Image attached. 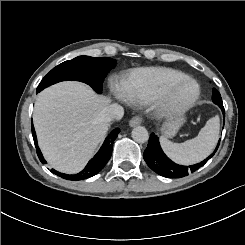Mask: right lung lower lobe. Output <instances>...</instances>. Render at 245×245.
Wrapping results in <instances>:
<instances>
[{
    "label": "right lung lower lobe",
    "instance_id": "1",
    "mask_svg": "<svg viewBox=\"0 0 245 245\" xmlns=\"http://www.w3.org/2000/svg\"><path fill=\"white\" fill-rule=\"evenodd\" d=\"M119 132H120V129L117 128L110 133V135L106 138L104 144L102 145L98 153L94 156V158H92L89 161L85 169L81 171L80 173L76 175H67V174H62L54 169H52L51 172H53L54 174L64 179L74 180V181L87 179V178H90L96 175L103 169V167L106 165V163L110 159L112 155L113 143H114V140L117 138ZM32 135H33L34 143L36 146L37 155L40 161L43 164H45L46 161L43 158L42 153L40 152V149L38 148V145H37V138H36V133H35L33 124H32Z\"/></svg>",
    "mask_w": 245,
    "mask_h": 245
}]
</instances>
